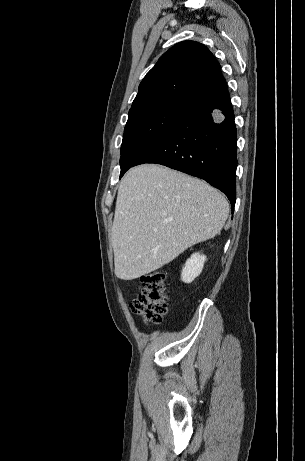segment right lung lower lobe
<instances>
[{
  "mask_svg": "<svg viewBox=\"0 0 305 461\" xmlns=\"http://www.w3.org/2000/svg\"><path fill=\"white\" fill-rule=\"evenodd\" d=\"M235 116L227 85L193 104L169 132L121 170L120 178L132 166L158 163L204 179L236 200L237 146Z\"/></svg>",
  "mask_w": 305,
  "mask_h": 461,
  "instance_id": "1",
  "label": "right lung lower lobe"
}]
</instances>
